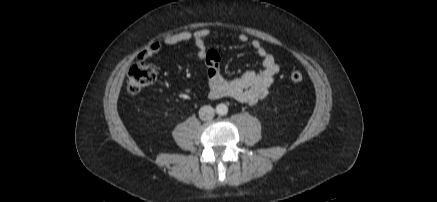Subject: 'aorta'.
Here are the masks:
<instances>
[{
  "label": "aorta",
  "instance_id": "762f6f07",
  "mask_svg": "<svg viewBox=\"0 0 437 202\" xmlns=\"http://www.w3.org/2000/svg\"><path fill=\"white\" fill-rule=\"evenodd\" d=\"M216 113L218 115H226L228 113L227 105L221 103L216 106Z\"/></svg>",
  "mask_w": 437,
  "mask_h": 202
}]
</instances>
